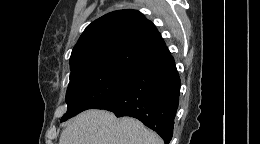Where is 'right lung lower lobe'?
<instances>
[{
  "label": "right lung lower lobe",
  "instance_id": "1",
  "mask_svg": "<svg viewBox=\"0 0 260 144\" xmlns=\"http://www.w3.org/2000/svg\"><path fill=\"white\" fill-rule=\"evenodd\" d=\"M180 78L171 54L138 68L114 94L95 109L139 119L169 144L179 103Z\"/></svg>",
  "mask_w": 260,
  "mask_h": 144
}]
</instances>
